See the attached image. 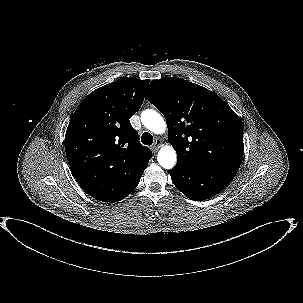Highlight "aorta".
Masks as SVG:
<instances>
[{
    "instance_id": "762f6f07",
    "label": "aorta",
    "mask_w": 303,
    "mask_h": 303,
    "mask_svg": "<svg viewBox=\"0 0 303 303\" xmlns=\"http://www.w3.org/2000/svg\"><path fill=\"white\" fill-rule=\"evenodd\" d=\"M142 124L155 134H163L166 130V123L163 117L155 110L147 109L141 113ZM159 165L165 169L174 167L177 161V155L172 146L162 147L157 155Z\"/></svg>"
}]
</instances>
